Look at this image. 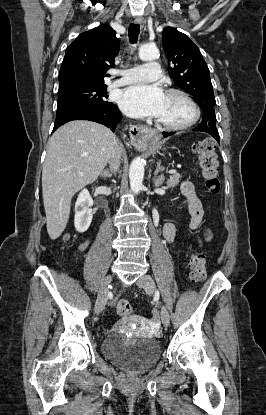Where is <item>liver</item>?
Wrapping results in <instances>:
<instances>
[{
	"instance_id": "6515ba94",
	"label": "liver",
	"mask_w": 266,
	"mask_h": 415,
	"mask_svg": "<svg viewBox=\"0 0 266 415\" xmlns=\"http://www.w3.org/2000/svg\"><path fill=\"white\" fill-rule=\"evenodd\" d=\"M116 143L110 129L82 120L61 126L50 138L42 170V194L47 232L52 240L67 225L72 197L97 180Z\"/></svg>"
}]
</instances>
